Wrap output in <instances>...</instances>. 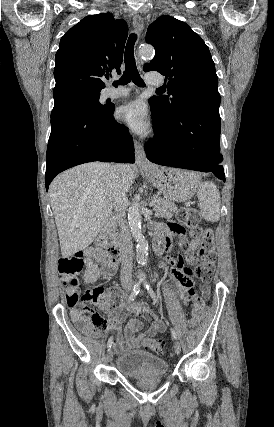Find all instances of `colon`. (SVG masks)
Listing matches in <instances>:
<instances>
[{
  "instance_id": "5ec220e1",
  "label": "colon",
  "mask_w": 274,
  "mask_h": 427,
  "mask_svg": "<svg viewBox=\"0 0 274 427\" xmlns=\"http://www.w3.org/2000/svg\"><path fill=\"white\" fill-rule=\"evenodd\" d=\"M177 220L173 226L180 247L190 248V243L181 236L190 231L193 240L199 242V248H215L212 230L210 228L197 229L200 217L196 210L190 206H183L177 211ZM83 269V257L81 252L60 257L58 261V272L62 277L64 298L69 308H75L80 303L96 302L104 295L102 286L82 287L78 281V275ZM190 311L196 318H207L208 310L200 301H189ZM193 317V318H195ZM193 328L199 327L198 321L192 322ZM141 350L164 353L165 348L161 341L143 338L140 342ZM166 355L165 353L163 354Z\"/></svg>"
}]
</instances>
